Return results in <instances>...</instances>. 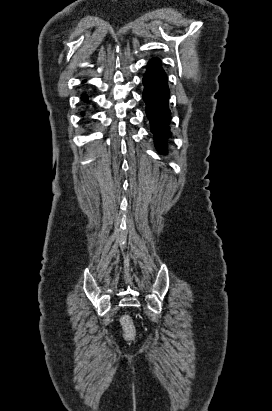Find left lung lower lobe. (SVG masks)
Returning a JSON list of instances; mask_svg holds the SVG:
<instances>
[{
    "mask_svg": "<svg viewBox=\"0 0 272 411\" xmlns=\"http://www.w3.org/2000/svg\"><path fill=\"white\" fill-rule=\"evenodd\" d=\"M143 84V99L146 102V114L150 120L155 146L159 152L165 154L167 139L171 136L169 127L171 113L168 108L167 76L159 59L153 58L149 61Z\"/></svg>",
    "mask_w": 272,
    "mask_h": 411,
    "instance_id": "obj_1",
    "label": "left lung lower lobe"
}]
</instances>
